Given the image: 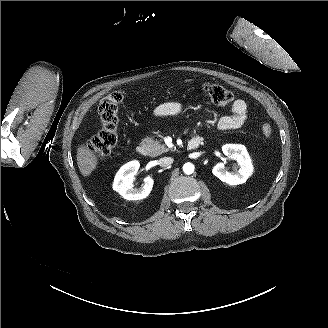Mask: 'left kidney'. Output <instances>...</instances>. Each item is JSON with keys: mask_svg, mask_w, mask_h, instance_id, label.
I'll return each mask as SVG.
<instances>
[{"mask_svg": "<svg viewBox=\"0 0 328 328\" xmlns=\"http://www.w3.org/2000/svg\"><path fill=\"white\" fill-rule=\"evenodd\" d=\"M222 151L224 155L237 161L239 169L229 172L224 163H218L212 169L213 175L229 185L245 183L254 169L246 147L241 144H225L222 146Z\"/></svg>", "mask_w": 328, "mask_h": 328, "instance_id": "1", "label": "left kidney"}]
</instances>
